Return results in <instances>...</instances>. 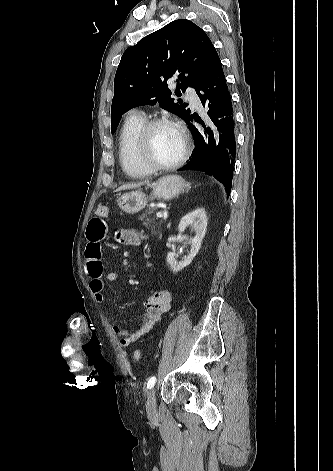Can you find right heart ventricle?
Returning <instances> with one entry per match:
<instances>
[{
    "label": "right heart ventricle",
    "instance_id": "obj_1",
    "mask_svg": "<svg viewBox=\"0 0 333 471\" xmlns=\"http://www.w3.org/2000/svg\"><path fill=\"white\" fill-rule=\"evenodd\" d=\"M146 123L139 114H132L124 121L118 139V157L123 171L130 178L139 179L152 173L139 160L137 143L140 131Z\"/></svg>",
    "mask_w": 333,
    "mask_h": 471
}]
</instances>
